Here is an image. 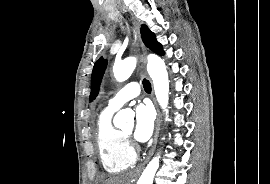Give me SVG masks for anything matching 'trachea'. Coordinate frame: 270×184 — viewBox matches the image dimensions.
<instances>
[{
    "label": "trachea",
    "mask_w": 270,
    "mask_h": 184,
    "mask_svg": "<svg viewBox=\"0 0 270 184\" xmlns=\"http://www.w3.org/2000/svg\"><path fill=\"white\" fill-rule=\"evenodd\" d=\"M143 87L146 92H151V84L148 80H143Z\"/></svg>",
    "instance_id": "3493384b"
}]
</instances>
